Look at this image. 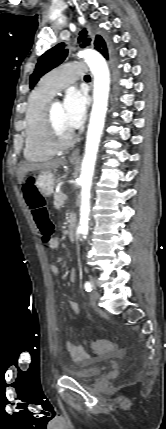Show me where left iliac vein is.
Returning a JSON list of instances; mask_svg holds the SVG:
<instances>
[{
    "instance_id": "left-iliac-vein-1",
    "label": "left iliac vein",
    "mask_w": 166,
    "mask_h": 429,
    "mask_svg": "<svg viewBox=\"0 0 166 429\" xmlns=\"http://www.w3.org/2000/svg\"><path fill=\"white\" fill-rule=\"evenodd\" d=\"M89 297H90L91 303L96 304L100 298V294L97 290L94 289L93 291L90 292Z\"/></svg>"
}]
</instances>
